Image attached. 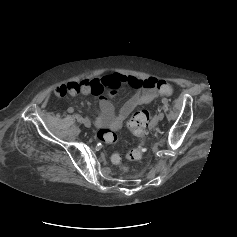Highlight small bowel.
<instances>
[{
  "label": "small bowel",
  "mask_w": 237,
  "mask_h": 237,
  "mask_svg": "<svg viewBox=\"0 0 237 237\" xmlns=\"http://www.w3.org/2000/svg\"><path fill=\"white\" fill-rule=\"evenodd\" d=\"M124 84L132 87L134 94L118 113L115 114L112 103L105 99L102 94L107 90L110 96H114L116 90ZM157 84L158 80L154 77L138 79L136 77L114 73L100 79L62 84L54 89V93L58 97L79 93L92 94L99 97V111L96 114V125L117 130L134 109L151 103L157 97Z\"/></svg>",
  "instance_id": "small-bowel-1"
}]
</instances>
